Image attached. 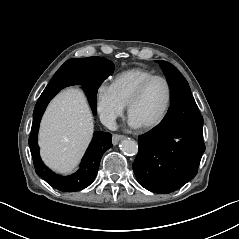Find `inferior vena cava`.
I'll return each mask as SVG.
<instances>
[{"instance_id":"obj_1","label":"inferior vena cava","mask_w":239,"mask_h":239,"mask_svg":"<svg viewBox=\"0 0 239 239\" xmlns=\"http://www.w3.org/2000/svg\"><path fill=\"white\" fill-rule=\"evenodd\" d=\"M101 122L111 131H116L118 128L115 121V116H103L101 117Z\"/></svg>"}]
</instances>
